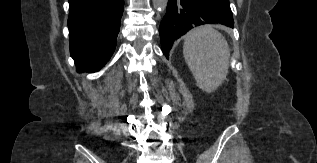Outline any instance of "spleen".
<instances>
[{"instance_id": "obj_1", "label": "spleen", "mask_w": 317, "mask_h": 163, "mask_svg": "<svg viewBox=\"0 0 317 163\" xmlns=\"http://www.w3.org/2000/svg\"><path fill=\"white\" fill-rule=\"evenodd\" d=\"M183 55L197 86L207 93L216 90L228 74V43L211 26H201L187 33Z\"/></svg>"}]
</instances>
